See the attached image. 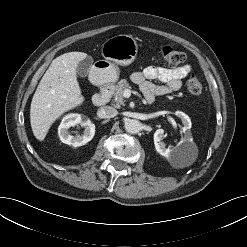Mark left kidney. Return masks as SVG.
<instances>
[{"label":"left kidney","mask_w":247,"mask_h":247,"mask_svg":"<svg viewBox=\"0 0 247 247\" xmlns=\"http://www.w3.org/2000/svg\"><path fill=\"white\" fill-rule=\"evenodd\" d=\"M176 116L179 117L182 120L183 128L182 131L184 133L183 139L177 144L176 147H166V144L162 141V137L164 134L163 129H158L154 133V144L156 151L164 156V157H171L174 153H176L178 150L185 146H195L192 138V134L190 132L192 123L188 115L181 111H177Z\"/></svg>","instance_id":"obj_1"}]
</instances>
